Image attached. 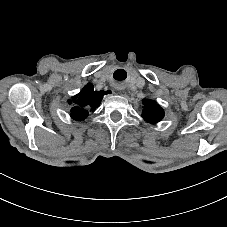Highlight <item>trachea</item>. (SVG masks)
Masks as SVG:
<instances>
[{"instance_id":"3493384b","label":"trachea","mask_w":227,"mask_h":227,"mask_svg":"<svg viewBox=\"0 0 227 227\" xmlns=\"http://www.w3.org/2000/svg\"><path fill=\"white\" fill-rule=\"evenodd\" d=\"M113 76H114V79L121 81L127 77V73L123 69H118L114 72Z\"/></svg>"}]
</instances>
